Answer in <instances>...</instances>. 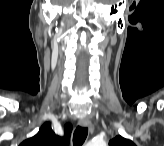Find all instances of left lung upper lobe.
Instances as JSON below:
<instances>
[{"instance_id": "5c2ea615", "label": "left lung upper lobe", "mask_w": 164, "mask_h": 146, "mask_svg": "<svg viewBox=\"0 0 164 146\" xmlns=\"http://www.w3.org/2000/svg\"><path fill=\"white\" fill-rule=\"evenodd\" d=\"M109 146H135V144L132 141L118 135L112 140H110Z\"/></svg>"}]
</instances>
